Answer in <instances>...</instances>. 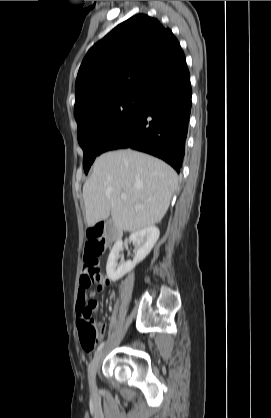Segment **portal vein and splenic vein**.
Here are the masks:
<instances>
[{
  "label": "portal vein and splenic vein",
  "instance_id": "1",
  "mask_svg": "<svg viewBox=\"0 0 271 418\" xmlns=\"http://www.w3.org/2000/svg\"><path fill=\"white\" fill-rule=\"evenodd\" d=\"M121 199H122V200H126V195H125V194H122V195H121Z\"/></svg>",
  "mask_w": 271,
  "mask_h": 418
}]
</instances>
